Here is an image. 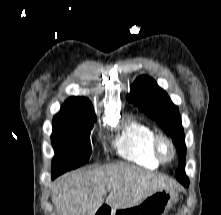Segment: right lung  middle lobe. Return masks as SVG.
Listing matches in <instances>:
<instances>
[{
  "mask_svg": "<svg viewBox=\"0 0 221 215\" xmlns=\"http://www.w3.org/2000/svg\"><path fill=\"white\" fill-rule=\"evenodd\" d=\"M95 120L93 107L86 104L62 107L54 117L52 176L57 177L88 162L92 153L90 132Z\"/></svg>",
  "mask_w": 221,
  "mask_h": 215,
  "instance_id": "right-lung-middle-lobe-1",
  "label": "right lung middle lobe"
}]
</instances>
